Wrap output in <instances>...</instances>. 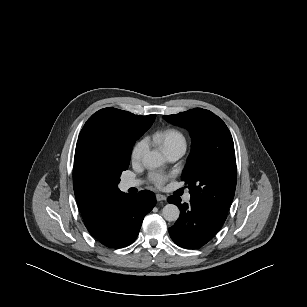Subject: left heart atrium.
I'll list each match as a JSON object with an SVG mask.
<instances>
[{"label":"left heart atrium","instance_id":"left-heart-atrium-1","mask_svg":"<svg viewBox=\"0 0 307 307\" xmlns=\"http://www.w3.org/2000/svg\"><path fill=\"white\" fill-rule=\"evenodd\" d=\"M167 178L168 176L162 172H155L151 175V181L157 187H161L166 182Z\"/></svg>","mask_w":307,"mask_h":307}]
</instances>
